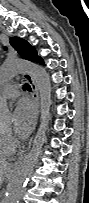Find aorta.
I'll use <instances>...</instances> for the list:
<instances>
[{
  "mask_svg": "<svg viewBox=\"0 0 89 203\" xmlns=\"http://www.w3.org/2000/svg\"><path fill=\"white\" fill-rule=\"evenodd\" d=\"M24 73H28L33 77L40 94V125L34 137L31 150L20 163L8 183L7 191L2 203L20 202L25 186L38 162V158L42 152V147L46 142V133L50 118V107L52 104V87L47 71L38 64L22 59H12L5 61L1 66L0 80L2 83H6L15 76ZM12 120V112L7 103H1L0 127L2 129H8L12 124Z\"/></svg>",
  "mask_w": 89,
  "mask_h": 203,
  "instance_id": "762f6f07",
  "label": "aorta"
}]
</instances>
